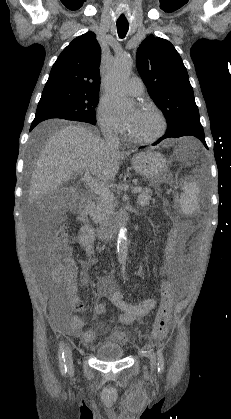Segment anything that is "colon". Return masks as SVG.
I'll return each mask as SVG.
<instances>
[{
	"label": "colon",
	"instance_id": "5ec220e1",
	"mask_svg": "<svg viewBox=\"0 0 231 419\" xmlns=\"http://www.w3.org/2000/svg\"><path fill=\"white\" fill-rule=\"evenodd\" d=\"M67 231L64 228L59 229L54 235L52 241L46 248L45 256L49 269L50 279L56 284H65L69 287L74 285L75 267L70 260L71 250L66 241ZM179 249L178 239H169L164 254L168 261L176 259ZM179 292V285L175 281L168 280L163 285V290L159 292V297L163 302L157 312L154 323L153 335L156 339H162L167 334L168 319L171 312L172 301L175 293ZM105 312L104 306L97 308L98 314ZM121 339H125L123 333H118Z\"/></svg>",
	"mask_w": 231,
	"mask_h": 419
}]
</instances>
